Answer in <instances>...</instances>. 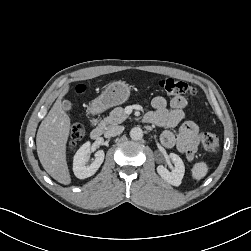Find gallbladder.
Segmentation results:
<instances>
[{"label": "gallbladder", "instance_id": "gallbladder-1", "mask_svg": "<svg viewBox=\"0 0 251 251\" xmlns=\"http://www.w3.org/2000/svg\"><path fill=\"white\" fill-rule=\"evenodd\" d=\"M62 107H63L64 110L68 111V110L71 109L72 104H71L70 101L64 100V101L62 102Z\"/></svg>", "mask_w": 251, "mask_h": 251}]
</instances>
